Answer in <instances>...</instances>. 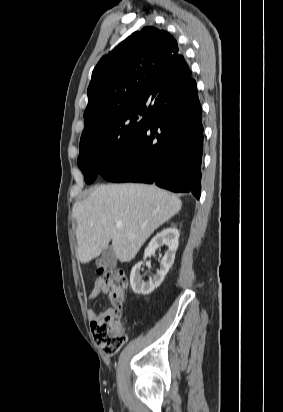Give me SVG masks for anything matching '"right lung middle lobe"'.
<instances>
[{
	"instance_id": "right-lung-middle-lobe-1",
	"label": "right lung middle lobe",
	"mask_w": 283,
	"mask_h": 412,
	"mask_svg": "<svg viewBox=\"0 0 283 412\" xmlns=\"http://www.w3.org/2000/svg\"><path fill=\"white\" fill-rule=\"evenodd\" d=\"M159 104H136L116 115L103 129L80 139L77 163L86 183H92L104 167L127 153Z\"/></svg>"
}]
</instances>
